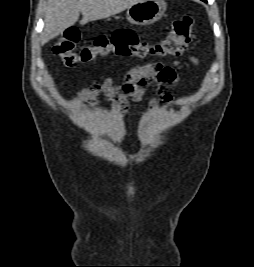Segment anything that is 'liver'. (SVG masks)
I'll use <instances>...</instances> for the list:
<instances>
[{
  "instance_id": "obj_1",
  "label": "liver",
  "mask_w": 254,
  "mask_h": 267,
  "mask_svg": "<svg viewBox=\"0 0 254 267\" xmlns=\"http://www.w3.org/2000/svg\"><path fill=\"white\" fill-rule=\"evenodd\" d=\"M142 0H48L41 45L74 25L82 13L81 24L121 13Z\"/></svg>"
}]
</instances>
